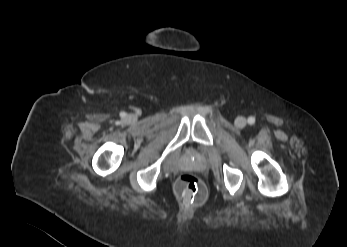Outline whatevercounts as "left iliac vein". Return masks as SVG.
Segmentation results:
<instances>
[{"mask_svg": "<svg viewBox=\"0 0 347 247\" xmlns=\"http://www.w3.org/2000/svg\"><path fill=\"white\" fill-rule=\"evenodd\" d=\"M246 118H244L243 116H238L236 119H235V126L238 127V128H243L246 126Z\"/></svg>", "mask_w": 347, "mask_h": 247, "instance_id": "left-iliac-vein-1", "label": "left iliac vein"}]
</instances>
